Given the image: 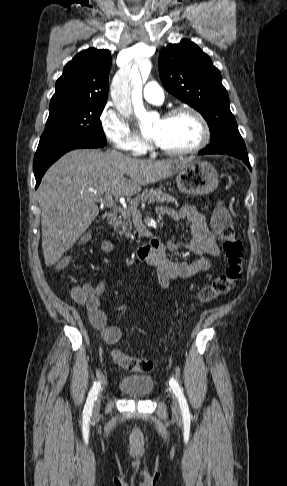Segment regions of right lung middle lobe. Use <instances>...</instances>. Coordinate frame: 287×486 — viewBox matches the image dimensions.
<instances>
[{
  "instance_id": "1",
  "label": "right lung middle lobe",
  "mask_w": 287,
  "mask_h": 486,
  "mask_svg": "<svg viewBox=\"0 0 287 486\" xmlns=\"http://www.w3.org/2000/svg\"><path fill=\"white\" fill-rule=\"evenodd\" d=\"M105 101L85 100L49 107V117L37 151L72 144L106 145L100 115Z\"/></svg>"
}]
</instances>
